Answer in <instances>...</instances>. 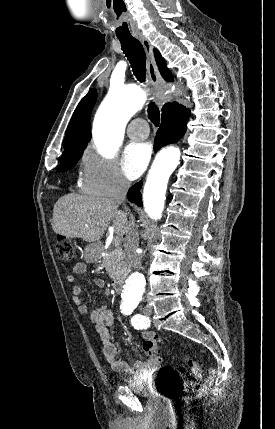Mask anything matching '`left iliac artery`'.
<instances>
[{
  "instance_id": "obj_1",
  "label": "left iliac artery",
  "mask_w": 275,
  "mask_h": 429,
  "mask_svg": "<svg viewBox=\"0 0 275 429\" xmlns=\"http://www.w3.org/2000/svg\"><path fill=\"white\" fill-rule=\"evenodd\" d=\"M134 307H124L123 314L130 315ZM131 324L135 329H146L149 326V319L141 314H136L131 318Z\"/></svg>"
}]
</instances>
